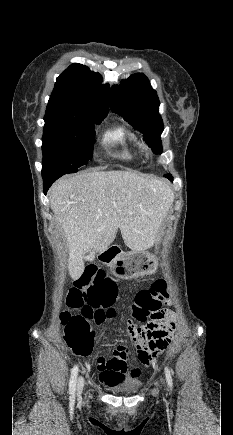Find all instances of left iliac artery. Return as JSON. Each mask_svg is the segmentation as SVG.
Wrapping results in <instances>:
<instances>
[{
	"mask_svg": "<svg viewBox=\"0 0 233 435\" xmlns=\"http://www.w3.org/2000/svg\"><path fill=\"white\" fill-rule=\"evenodd\" d=\"M165 375H166V379H167V383H168L169 387L172 388V386H173V380H172V376H171L170 370L167 367L165 368Z\"/></svg>",
	"mask_w": 233,
	"mask_h": 435,
	"instance_id": "1",
	"label": "left iliac artery"
}]
</instances>
